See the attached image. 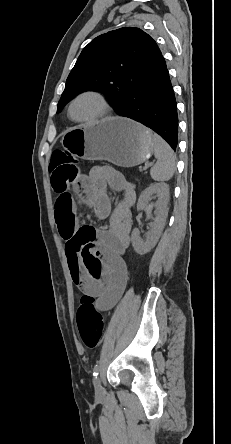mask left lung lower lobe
<instances>
[{
  "mask_svg": "<svg viewBox=\"0 0 231 444\" xmlns=\"http://www.w3.org/2000/svg\"><path fill=\"white\" fill-rule=\"evenodd\" d=\"M151 128L173 150L178 144L177 104L165 60L159 52L138 76L125 106L117 112Z\"/></svg>",
  "mask_w": 231,
  "mask_h": 444,
  "instance_id": "0a47b994",
  "label": "left lung lower lobe"
}]
</instances>
